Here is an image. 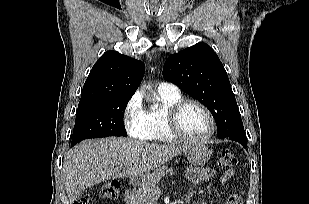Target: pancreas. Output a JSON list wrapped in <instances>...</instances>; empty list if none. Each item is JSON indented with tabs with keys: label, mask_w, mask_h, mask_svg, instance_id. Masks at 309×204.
I'll list each match as a JSON object with an SVG mask.
<instances>
[{
	"label": "pancreas",
	"mask_w": 309,
	"mask_h": 204,
	"mask_svg": "<svg viewBox=\"0 0 309 204\" xmlns=\"http://www.w3.org/2000/svg\"><path fill=\"white\" fill-rule=\"evenodd\" d=\"M176 172L167 166L157 168L152 174L148 175L146 179L140 184L139 189L133 191L134 197L140 204H152L154 198L153 193L156 185L167 174L173 175Z\"/></svg>",
	"instance_id": "cf45deb5"
}]
</instances>
